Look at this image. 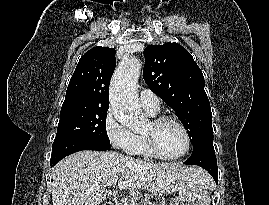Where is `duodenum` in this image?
I'll return each instance as SVG.
<instances>
[{"mask_svg":"<svg viewBox=\"0 0 269 205\" xmlns=\"http://www.w3.org/2000/svg\"><path fill=\"white\" fill-rule=\"evenodd\" d=\"M103 205H113L111 202L104 203Z\"/></svg>","mask_w":269,"mask_h":205,"instance_id":"obj_1","label":"duodenum"}]
</instances>
